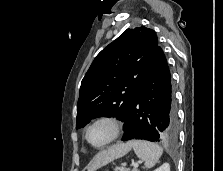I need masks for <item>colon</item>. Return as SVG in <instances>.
Here are the masks:
<instances>
[{"label":"colon","instance_id":"obj_1","mask_svg":"<svg viewBox=\"0 0 223 171\" xmlns=\"http://www.w3.org/2000/svg\"><path fill=\"white\" fill-rule=\"evenodd\" d=\"M117 171H127V170L124 168H119Z\"/></svg>","mask_w":223,"mask_h":171}]
</instances>
